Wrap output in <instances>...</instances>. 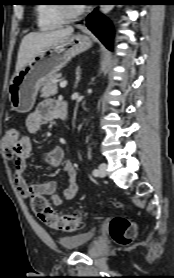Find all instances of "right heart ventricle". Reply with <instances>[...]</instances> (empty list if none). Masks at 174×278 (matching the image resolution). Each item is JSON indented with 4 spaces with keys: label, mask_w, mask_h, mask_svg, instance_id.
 Here are the masks:
<instances>
[{
    "label": "right heart ventricle",
    "mask_w": 174,
    "mask_h": 278,
    "mask_svg": "<svg viewBox=\"0 0 174 278\" xmlns=\"http://www.w3.org/2000/svg\"><path fill=\"white\" fill-rule=\"evenodd\" d=\"M37 26L42 31L54 30L66 23L56 4H39L36 7Z\"/></svg>",
    "instance_id": "e07e8e85"
}]
</instances>
